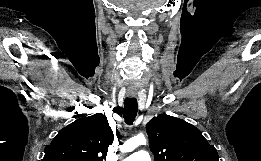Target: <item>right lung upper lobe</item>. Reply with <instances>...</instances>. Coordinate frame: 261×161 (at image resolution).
<instances>
[{
    "label": "right lung upper lobe",
    "mask_w": 261,
    "mask_h": 161,
    "mask_svg": "<svg viewBox=\"0 0 261 161\" xmlns=\"http://www.w3.org/2000/svg\"><path fill=\"white\" fill-rule=\"evenodd\" d=\"M113 140L105 115L80 118L59 131L42 161H103Z\"/></svg>",
    "instance_id": "1"
}]
</instances>
